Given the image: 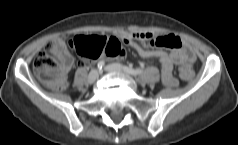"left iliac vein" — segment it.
I'll use <instances>...</instances> for the list:
<instances>
[{
    "instance_id": "4c4485c4",
    "label": "left iliac vein",
    "mask_w": 238,
    "mask_h": 145,
    "mask_svg": "<svg viewBox=\"0 0 238 145\" xmlns=\"http://www.w3.org/2000/svg\"><path fill=\"white\" fill-rule=\"evenodd\" d=\"M108 72H112V73H123L126 76H129L126 71L124 70L123 66H121L118 63H112L106 66L105 68Z\"/></svg>"
}]
</instances>
